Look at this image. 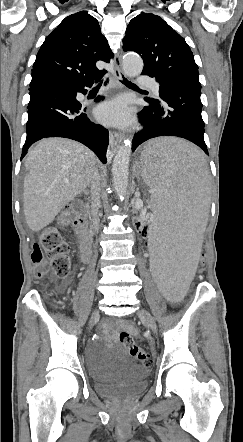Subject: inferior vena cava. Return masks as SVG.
Segmentation results:
<instances>
[{"mask_svg":"<svg viewBox=\"0 0 243 442\" xmlns=\"http://www.w3.org/2000/svg\"><path fill=\"white\" fill-rule=\"evenodd\" d=\"M92 193V209H91V222L94 232H98L100 219L98 216V208L100 206V177L97 171L94 172L91 182Z\"/></svg>","mask_w":243,"mask_h":442,"instance_id":"1","label":"inferior vena cava"}]
</instances>
